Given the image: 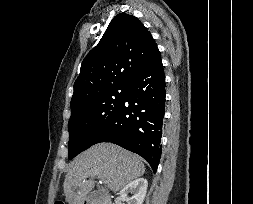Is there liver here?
<instances>
[{
    "label": "liver",
    "mask_w": 253,
    "mask_h": 204,
    "mask_svg": "<svg viewBox=\"0 0 253 204\" xmlns=\"http://www.w3.org/2000/svg\"><path fill=\"white\" fill-rule=\"evenodd\" d=\"M144 173L145 166L139 156L111 143L93 145L70 165L63 183L66 201L84 204L96 177L116 192Z\"/></svg>",
    "instance_id": "obj_1"
}]
</instances>
